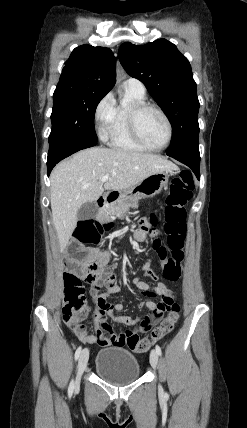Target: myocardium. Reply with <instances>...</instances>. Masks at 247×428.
Returning a JSON list of instances; mask_svg holds the SVG:
<instances>
[{"label": "myocardium", "instance_id": "obj_1", "mask_svg": "<svg viewBox=\"0 0 247 428\" xmlns=\"http://www.w3.org/2000/svg\"><path fill=\"white\" fill-rule=\"evenodd\" d=\"M147 109H151V110L158 112L162 116V118L164 119V121L167 125V139L160 146H152V145L148 144L143 139V137L141 136V134L139 132L138 117L143 111H145ZM127 123H128L129 132H130L133 140L147 150H152V151L164 150L165 148H167L170 145V143L172 141L173 126H172L171 120L168 117V115L166 114V112L162 108H160L159 106H157L155 104L145 102V101L133 103L128 108V111H127Z\"/></svg>", "mask_w": 247, "mask_h": 428}]
</instances>
